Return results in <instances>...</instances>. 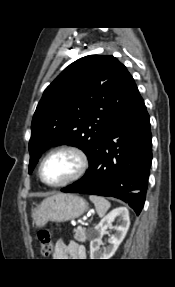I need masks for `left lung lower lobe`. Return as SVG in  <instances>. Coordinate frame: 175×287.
<instances>
[{"instance_id":"obj_1","label":"left lung lower lobe","mask_w":175,"mask_h":287,"mask_svg":"<svg viewBox=\"0 0 175 287\" xmlns=\"http://www.w3.org/2000/svg\"><path fill=\"white\" fill-rule=\"evenodd\" d=\"M149 114L138 95L98 145L94 161L77 182L62 192L112 196L141 212L152 161Z\"/></svg>"}]
</instances>
